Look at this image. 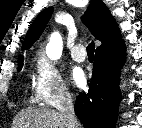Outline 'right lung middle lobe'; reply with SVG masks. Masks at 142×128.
<instances>
[{"label":"right lung middle lobe","mask_w":142,"mask_h":128,"mask_svg":"<svg viewBox=\"0 0 142 128\" xmlns=\"http://www.w3.org/2000/svg\"><path fill=\"white\" fill-rule=\"evenodd\" d=\"M22 66H23V61L19 62V67H18V69L21 70Z\"/></svg>","instance_id":"obj_1"}]
</instances>
